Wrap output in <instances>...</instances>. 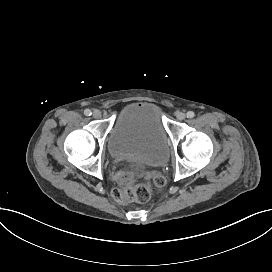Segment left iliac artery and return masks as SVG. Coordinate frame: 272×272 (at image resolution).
Masks as SVG:
<instances>
[{"instance_id": "1", "label": "left iliac artery", "mask_w": 272, "mask_h": 272, "mask_svg": "<svg viewBox=\"0 0 272 272\" xmlns=\"http://www.w3.org/2000/svg\"><path fill=\"white\" fill-rule=\"evenodd\" d=\"M187 118H193L195 116V113L193 111L187 112Z\"/></svg>"}]
</instances>
